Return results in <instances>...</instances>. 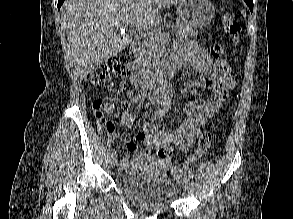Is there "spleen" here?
Masks as SVG:
<instances>
[{
  "label": "spleen",
  "instance_id": "spleen-1",
  "mask_svg": "<svg viewBox=\"0 0 293 219\" xmlns=\"http://www.w3.org/2000/svg\"><path fill=\"white\" fill-rule=\"evenodd\" d=\"M242 14H243V16H244V17L246 16V14H245V12H244V11H242Z\"/></svg>",
  "mask_w": 293,
  "mask_h": 219
}]
</instances>
